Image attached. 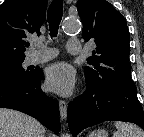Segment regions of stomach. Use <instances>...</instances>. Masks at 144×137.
Here are the masks:
<instances>
[{
	"mask_svg": "<svg viewBox=\"0 0 144 137\" xmlns=\"http://www.w3.org/2000/svg\"><path fill=\"white\" fill-rule=\"evenodd\" d=\"M107 132L105 130H97V131H93L90 134V137H107Z\"/></svg>",
	"mask_w": 144,
	"mask_h": 137,
	"instance_id": "0dacf381",
	"label": "stomach"
}]
</instances>
